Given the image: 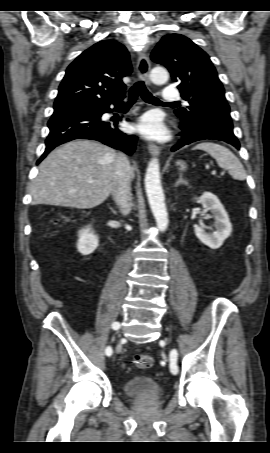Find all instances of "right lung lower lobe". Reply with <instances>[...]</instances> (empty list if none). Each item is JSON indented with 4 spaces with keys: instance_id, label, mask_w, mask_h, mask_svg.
Here are the masks:
<instances>
[{
    "instance_id": "obj_1",
    "label": "right lung lower lobe",
    "mask_w": 270,
    "mask_h": 453,
    "mask_svg": "<svg viewBox=\"0 0 270 453\" xmlns=\"http://www.w3.org/2000/svg\"><path fill=\"white\" fill-rule=\"evenodd\" d=\"M110 104L119 108L122 98L109 104L54 112L48 122L50 133L46 139V149L37 163L56 146L78 138L97 140L131 155L137 137L121 132L116 123L111 125L101 120L102 114L112 112Z\"/></svg>"
}]
</instances>
